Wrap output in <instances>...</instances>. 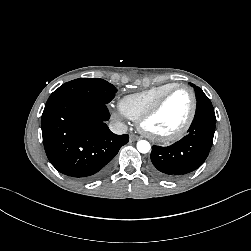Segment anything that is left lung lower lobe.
<instances>
[{"mask_svg": "<svg viewBox=\"0 0 251 251\" xmlns=\"http://www.w3.org/2000/svg\"><path fill=\"white\" fill-rule=\"evenodd\" d=\"M215 123V115H195L188 134L181 140L167 147L154 145L150 164L152 171L173 180L200 167L211 149Z\"/></svg>", "mask_w": 251, "mask_h": 251, "instance_id": "0a47b994", "label": "left lung lower lobe"}]
</instances>
